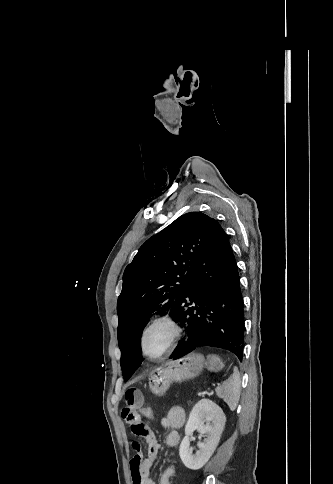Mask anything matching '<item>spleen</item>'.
<instances>
[{"label":"spleen","instance_id":"3e777b00","mask_svg":"<svg viewBox=\"0 0 333 484\" xmlns=\"http://www.w3.org/2000/svg\"><path fill=\"white\" fill-rule=\"evenodd\" d=\"M216 394L228 405L231 411L236 409L240 397V375L237 368H234L230 378L216 388Z\"/></svg>","mask_w":333,"mask_h":484}]
</instances>
